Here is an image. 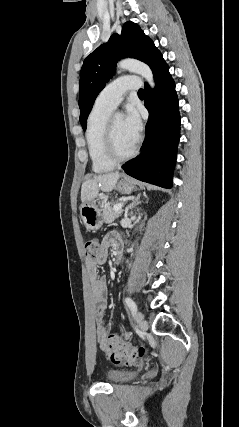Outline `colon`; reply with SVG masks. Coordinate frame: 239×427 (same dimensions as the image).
Instances as JSON below:
<instances>
[{
	"label": "colon",
	"mask_w": 239,
	"mask_h": 427,
	"mask_svg": "<svg viewBox=\"0 0 239 427\" xmlns=\"http://www.w3.org/2000/svg\"><path fill=\"white\" fill-rule=\"evenodd\" d=\"M83 248L86 258L93 260L99 251V240L97 238L89 239L84 243ZM108 352L112 362L134 365L145 356L146 349L143 346L134 347L127 342L121 341L116 336H111Z\"/></svg>",
	"instance_id": "obj_1"
}]
</instances>
